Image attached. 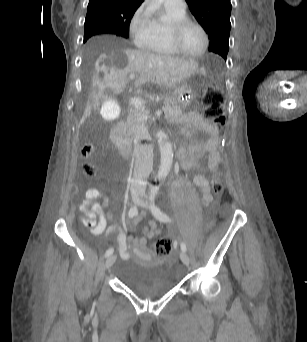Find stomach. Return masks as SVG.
I'll list each match as a JSON object with an SVG mask.
<instances>
[{"instance_id":"obj_1","label":"stomach","mask_w":307,"mask_h":342,"mask_svg":"<svg viewBox=\"0 0 307 342\" xmlns=\"http://www.w3.org/2000/svg\"><path fill=\"white\" fill-rule=\"evenodd\" d=\"M202 72H195L174 87L172 96L180 107H187L193 101L201 84Z\"/></svg>"}]
</instances>
